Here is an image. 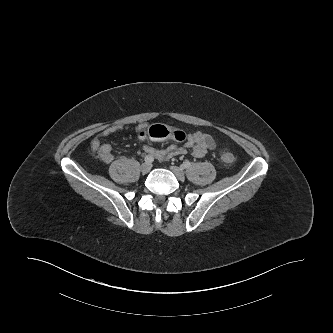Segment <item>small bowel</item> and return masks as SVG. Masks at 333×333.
Here are the masks:
<instances>
[{"instance_id": "1", "label": "small bowel", "mask_w": 333, "mask_h": 333, "mask_svg": "<svg viewBox=\"0 0 333 333\" xmlns=\"http://www.w3.org/2000/svg\"><path fill=\"white\" fill-rule=\"evenodd\" d=\"M143 128V126H139L137 130L140 131ZM122 129L123 127L121 125H114L96 135L90 143L92 153L105 163L112 162L114 160L112 146L103 143V140ZM184 134L185 138L182 146L169 145L165 149H158L146 143L143 145V149L148 155L163 161L173 157L184 156L189 152L196 158H202L216 148V142L213 137L203 131H195L192 133L184 132Z\"/></svg>"}]
</instances>
